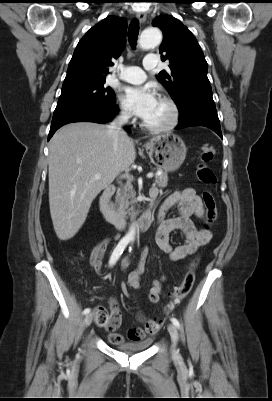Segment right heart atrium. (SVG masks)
<instances>
[{"label":"right heart atrium","instance_id":"obj_1","mask_svg":"<svg viewBox=\"0 0 272 401\" xmlns=\"http://www.w3.org/2000/svg\"><path fill=\"white\" fill-rule=\"evenodd\" d=\"M118 116L120 119L124 120V121H128L131 119L132 117V113L129 110L128 107H126L125 105L121 104L119 105V109H118Z\"/></svg>","mask_w":272,"mask_h":401}]
</instances>
